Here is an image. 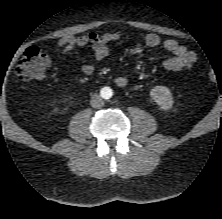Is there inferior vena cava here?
I'll return each instance as SVG.
<instances>
[{
	"instance_id": "obj_1",
	"label": "inferior vena cava",
	"mask_w": 222,
	"mask_h": 219,
	"mask_svg": "<svg viewBox=\"0 0 222 219\" xmlns=\"http://www.w3.org/2000/svg\"><path fill=\"white\" fill-rule=\"evenodd\" d=\"M90 103L93 108H101L104 105L103 99L98 94L92 95Z\"/></svg>"
}]
</instances>
